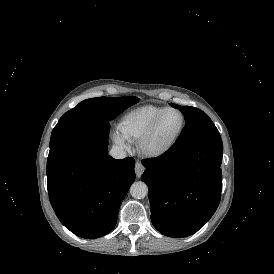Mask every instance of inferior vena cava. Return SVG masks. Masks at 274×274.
<instances>
[{
  "label": "inferior vena cava",
  "mask_w": 274,
  "mask_h": 274,
  "mask_svg": "<svg viewBox=\"0 0 274 274\" xmlns=\"http://www.w3.org/2000/svg\"><path fill=\"white\" fill-rule=\"evenodd\" d=\"M110 155L116 159H123L127 156V153L122 147L113 145L110 150Z\"/></svg>",
  "instance_id": "obj_1"
}]
</instances>
